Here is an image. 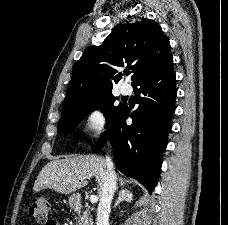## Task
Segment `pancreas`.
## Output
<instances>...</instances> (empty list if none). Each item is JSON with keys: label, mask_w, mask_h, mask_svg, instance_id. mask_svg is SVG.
Masks as SVG:
<instances>
[{"label": "pancreas", "mask_w": 228, "mask_h": 225, "mask_svg": "<svg viewBox=\"0 0 228 225\" xmlns=\"http://www.w3.org/2000/svg\"><path fill=\"white\" fill-rule=\"evenodd\" d=\"M79 225H93L90 215L84 213V215H78L77 217Z\"/></svg>", "instance_id": "cf45deb5"}]
</instances>
